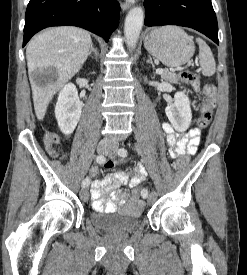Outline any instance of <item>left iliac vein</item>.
Listing matches in <instances>:
<instances>
[{"label": "left iliac vein", "mask_w": 247, "mask_h": 275, "mask_svg": "<svg viewBox=\"0 0 247 275\" xmlns=\"http://www.w3.org/2000/svg\"><path fill=\"white\" fill-rule=\"evenodd\" d=\"M117 150H118V145L114 143L110 148V150L106 153V155L109 156L110 158H114L116 156ZM146 191H147L146 189L143 190V193H142L143 198L148 197L145 195ZM156 196L157 194L155 192L151 193V195L148 198V202L153 203L156 200Z\"/></svg>", "instance_id": "4c4485c4"}]
</instances>
